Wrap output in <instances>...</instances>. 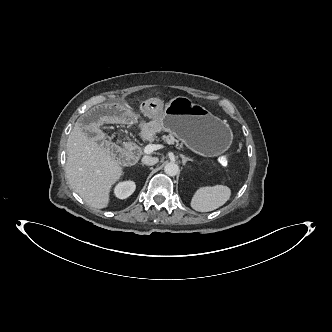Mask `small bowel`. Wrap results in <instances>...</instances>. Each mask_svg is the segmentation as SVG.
<instances>
[{"label": "small bowel", "instance_id": "small-bowel-1", "mask_svg": "<svg viewBox=\"0 0 332 332\" xmlns=\"http://www.w3.org/2000/svg\"><path fill=\"white\" fill-rule=\"evenodd\" d=\"M164 102L161 99L143 100L140 103V110L148 113L151 119H158L162 115ZM106 123L115 127L125 125L134 127L138 123V118L130 114L128 109L114 103H94L89 111L83 112L78 119L79 128L83 137L90 142L98 141L103 134L101 124Z\"/></svg>", "mask_w": 332, "mask_h": 332}]
</instances>
